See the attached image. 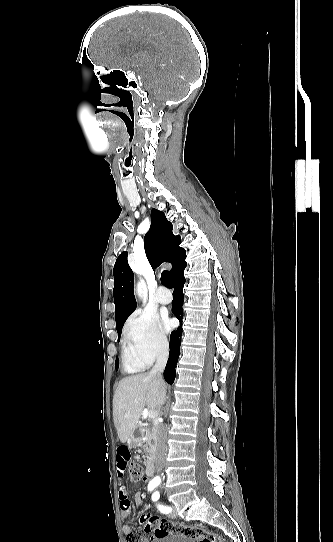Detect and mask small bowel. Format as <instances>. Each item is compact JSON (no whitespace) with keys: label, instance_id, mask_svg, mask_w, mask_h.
Here are the masks:
<instances>
[{"label":"small bowel","instance_id":"obj_1","mask_svg":"<svg viewBox=\"0 0 333 542\" xmlns=\"http://www.w3.org/2000/svg\"><path fill=\"white\" fill-rule=\"evenodd\" d=\"M130 459V452L127 446L121 445L118 448L117 452V462H116V468H117V494H118V500H119V508L121 512L122 518H128L131 514V503L128 498V490L125 485V472L127 467V462ZM141 484L143 486H146L148 484L147 477H142ZM135 502L139 505L141 503L142 495L140 493H136L134 496ZM133 531V528L129 525H125L123 527V532L128 536Z\"/></svg>","mask_w":333,"mask_h":542}]
</instances>
